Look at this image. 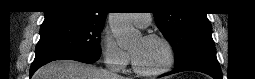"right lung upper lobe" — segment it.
Here are the masks:
<instances>
[{
    "instance_id": "cb5924a9",
    "label": "right lung upper lobe",
    "mask_w": 255,
    "mask_h": 79,
    "mask_svg": "<svg viewBox=\"0 0 255 79\" xmlns=\"http://www.w3.org/2000/svg\"><path fill=\"white\" fill-rule=\"evenodd\" d=\"M99 0H53L45 13L44 21L69 20L104 25L107 12Z\"/></svg>"
}]
</instances>
